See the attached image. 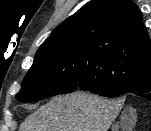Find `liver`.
I'll return each mask as SVG.
<instances>
[{"label":"liver","instance_id":"6515ba94","mask_svg":"<svg viewBox=\"0 0 151 131\" xmlns=\"http://www.w3.org/2000/svg\"><path fill=\"white\" fill-rule=\"evenodd\" d=\"M121 107L118 100L84 92L57 96L30 114L19 131H108Z\"/></svg>","mask_w":151,"mask_h":131}]
</instances>
